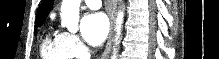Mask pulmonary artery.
I'll list each match as a JSON object with an SVG mask.
<instances>
[{
    "label": "pulmonary artery",
    "mask_w": 219,
    "mask_h": 59,
    "mask_svg": "<svg viewBox=\"0 0 219 59\" xmlns=\"http://www.w3.org/2000/svg\"><path fill=\"white\" fill-rule=\"evenodd\" d=\"M85 4L91 9H99L101 7V1L99 0H85Z\"/></svg>",
    "instance_id": "obj_1"
}]
</instances>
